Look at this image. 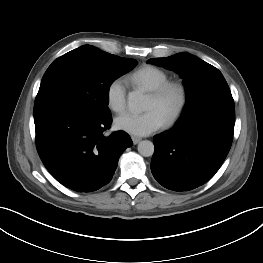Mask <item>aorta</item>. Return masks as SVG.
Here are the masks:
<instances>
[{"mask_svg":"<svg viewBox=\"0 0 263 263\" xmlns=\"http://www.w3.org/2000/svg\"><path fill=\"white\" fill-rule=\"evenodd\" d=\"M128 106L132 111L142 112L146 108V97L140 91H132L128 94ZM138 152L144 157H150L154 153V144L149 140H143L138 144Z\"/></svg>","mask_w":263,"mask_h":263,"instance_id":"aorta-1","label":"aorta"}]
</instances>
